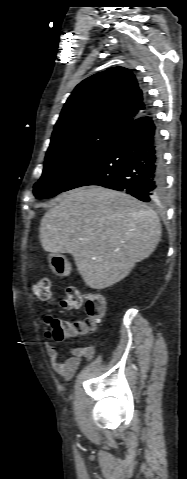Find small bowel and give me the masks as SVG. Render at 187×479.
<instances>
[{
  "mask_svg": "<svg viewBox=\"0 0 187 479\" xmlns=\"http://www.w3.org/2000/svg\"><path fill=\"white\" fill-rule=\"evenodd\" d=\"M45 349L52 369L65 379H70L75 374L82 358L90 361L94 357V348L90 346H74L70 348L69 356L66 358H60L56 346L49 342H46Z\"/></svg>",
  "mask_w": 187,
  "mask_h": 479,
  "instance_id": "c3829d8e",
  "label": "small bowel"
}]
</instances>
